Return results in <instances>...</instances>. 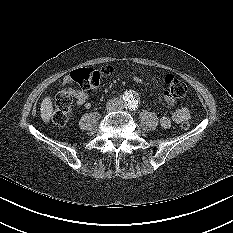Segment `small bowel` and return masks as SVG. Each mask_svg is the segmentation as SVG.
Wrapping results in <instances>:
<instances>
[{"label": "small bowel", "mask_w": 233, "mask_h": 233, "mask_svg": "<svg viewBox=\"0 0 233 233\" xmlns=\"http://www.w3.org/2000/svg\"><path fill=\"white\" fill-rule=\"evenodd\" d=\"M68 78L64 80V83L67 84ZM70 92L72 96L76 100V105L80 108H90L92 103L90 101L91 94L87 91L80 90V89H74L70 88ZM165 100L170 106L175 105L174 99L169 97L167 94H165ZM191 117V113L187 107H179L177 108L171 116H162L160 118V125L164 129L170 128L173 124H181L184 121H188Z\"/></svg>", "instance_id": "obj_1"}]
</instances>
